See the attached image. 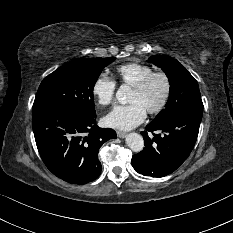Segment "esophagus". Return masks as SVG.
Masks as SVG:
<instances>
[{
  "mask_svg": "<svg viewBox=\"0 0 233 233\" xmlns=\"http://www.w3.org/2000/svg\"><path fill=\"white\" fill-rule=\"evenodd\" d=\"M116 133H117V136H118L119 138H124V137H126V135H127V133L122 132V131H117Z\"/></svg>",
  "mask_w": 233,
  "mask_h": 233,
  "instance_id": "esophagus-1",
  "label": "esophagus"
}]
</instances>
